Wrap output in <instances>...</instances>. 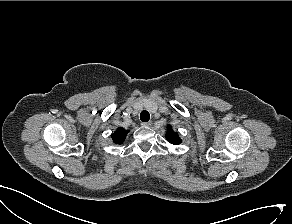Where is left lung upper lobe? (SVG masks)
Here are the masks:
<instances>
[{"label":"left lung upper lobe","mask_w":292,"mask_h":224,"mask_svg":"<svg viewBox=\"0 0 292 224\" xmlns=\"http://www.w3.org/2000/svg\"><path fill=\"white\" fill-rule=\"evenodd\" d=\"M166 139L169 143L174 145H179L182 142L178 134L175 131H173L171 126L167 127Z\"/></svg>","instance_id":"5c2ea615"}]
</instances>
